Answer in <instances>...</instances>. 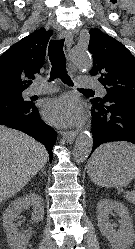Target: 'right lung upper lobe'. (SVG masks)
Wrapping results in <instances>:
<instances>
[{
	"instance_id": "obj_1",
	"label": "right lung upper lobe",
	"mask_w": 135,
	"mask_h": 249,
	"mask_svg": "<svg viewBox=\"0 0 135 249\" xmlns=\"http://www.w3.org/2000/svg\"><path fill=\"white\" fill-rule=\"evenodd\" d=\"M52 30L41 28L0 56V93L22 92L43 66Z\"/></svg>"
}]
</instances>
